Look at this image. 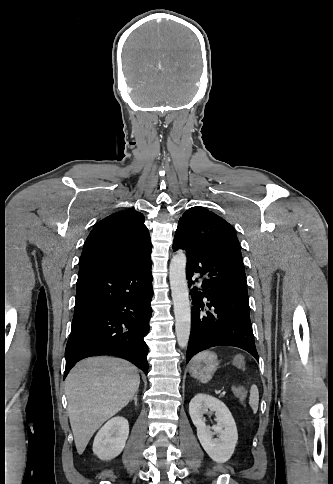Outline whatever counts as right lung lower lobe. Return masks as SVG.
Segmentation results:
<instances>
[{
  "instance_id": "obj_1",
  "label": "right lung lower lobe",
  "mask_w": 333,
  "mask_h": 484,
  "mask_svg": "<svg viewBox=\"0 0 333 484\" xmlns=\"http://www.w3.org/2000/svg\"><path fill=\"white\" fill-rule=\"evenodd\" d=\"M151 265L149 258L131 267L79 273L64 378L79 360L99 355L125 358L147 374Z\"/></svg>"
}]
</instances>
